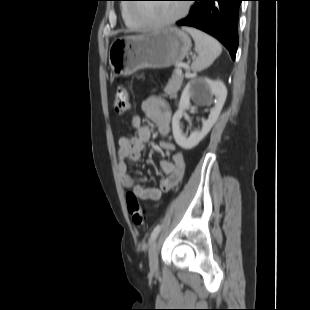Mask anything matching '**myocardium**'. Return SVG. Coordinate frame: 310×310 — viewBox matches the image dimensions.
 I'll return each mask as SVG.
<instances>
[{"label": "myocardium", "mask_w": 310, "mask_h": 310, "mask_svg": "<svg viewBox=\"0 0 310 310\" xmlns=\"http://www.w3.org/2000/svg\"><path fill=\"white\" fill-rule=\"evenodd\" d=\"M188 12H189V4H183L181 11L176 16H174L170 19L158 22V21H152V20H148V19H145V18L138 16L135 13V8L133 7V5H130V7H129L130 16L134 20L141 23L142 26H144L146 28H150V29H161V28L168 27V26L178 22L182 18H184L188 14Z\"/></svg>", "instance_id": "obj_1"}]
</instances>
